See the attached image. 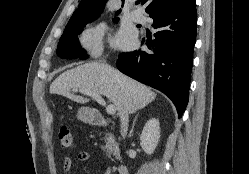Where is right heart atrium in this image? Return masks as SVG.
I'll return each mask as SVG.
<instances>
[{
    "instance_id": "obj_1",
    "label": "right heart atrium",
    "mask_w": 249,
    "mask_h": 174,
    "mask_svg": "<svg viewBox=\"0 0 249 174\" xmlns=\"http://www.w3.org/2000/svg\"><path fill=\"white\" fill-rule=\"evenodd\" d=\"M105 26L96 24L85 29L79 37L81 46L93 56H99L103 50Z\"/></svg>"
}]
</instances>
